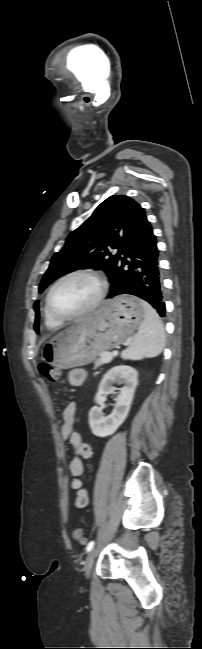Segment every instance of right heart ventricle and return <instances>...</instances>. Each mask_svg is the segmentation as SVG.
Returning <instances> with one entry per match:
<instances>
[{"mask_svg": "<svg viewBox=\"0 0 202 649\" xmlns=\"http://www.w3.org/2000/svg\"><path fill=\"white\" fill-rule=\"evenodd\" d=\"M43 316H44V323L49 329L58 328L62 324L61 322L56 321L49 315L46 306L44 307Z\"/></svg>", "mask_w": 202, "mask_h": 649, "instance_id": "obj_1", "label": "right heart ventricle"}]
</instances>
